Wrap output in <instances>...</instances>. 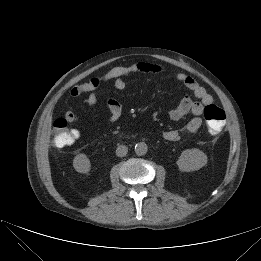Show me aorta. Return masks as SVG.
Instances as JSON below:
<instances>
[{"label": "aorta", "mask_w": 261, "mask_h": 261, "mask_svg": "<svg viewBox=\"0 0 261 261\" xmlns=\"http://www.w3.org/2000/svg\"><path fill=\"white\" fill-rule=\"evenodd\" d=\"M148 151V146L145 142H139L135 145V153L139 156L145 155Z\"/></svg>", "instance_id": "1"}]
</instances>
